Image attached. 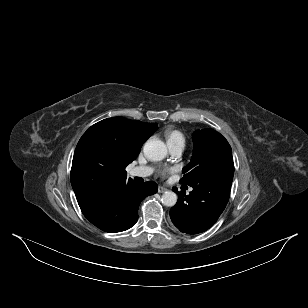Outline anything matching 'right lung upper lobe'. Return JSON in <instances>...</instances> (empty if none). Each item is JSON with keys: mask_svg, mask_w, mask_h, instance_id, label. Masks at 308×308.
Masks as SVG:
<instances>
[{"mask_svg": "<svg viewBox=\"0 0 308 308\" xmlns=\"http://www.w3.org/2000/svg\"><path fill=\"white\" fill-rule=\"evenodd\" d=\"M157 129V123L124 117L104 119L91 126L79 140L72 161L70 178L79 206L133 182L127 180L125 168Z\"/></svg>", "mask_w": 308, "mask_h": 308, "instance_id": "1", "label": "right lung upper lobe"}]
</instances>
